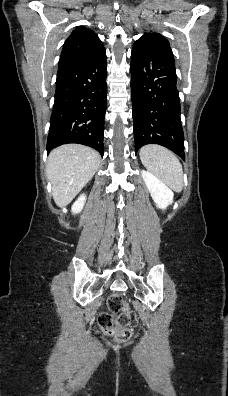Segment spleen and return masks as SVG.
<instances>
[{"mask_svg": "<svg viewBox=\"0 0 228 396\" xmlns=\"http://www.w3.org/2000/svg\"><path fill=\"white\" fill-rule=\"evenodd\" d=\"M140 159L145 168L176 192L184 185L183 169L178 158L168 149L156 144L141 148Z\"/></svg>", "mask_w": 228, "mask_h": 396, "instance_id": "spleen-1", "label": "spleen"}]
</instances>
